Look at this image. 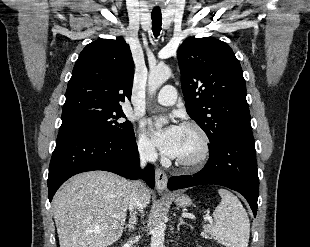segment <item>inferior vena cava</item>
I'll list each match as a JSON object with an SVG mask.
<instances>
[{"label":"inferior vena cava","mask_w":310,"mask_h":247,"mask_svg":"<svg viewBox=\"0 0 310 247\" xmlns=\"http://www.w3.org/2000/svg\"><path fill=\"white\" fill-rule=\"evenodd\" d=\"M140 154V164L143 168L147 162H154L157 159V153L150 144H143L138 147ZM141 182H131V193L129 200V210L138 209L142 211V203L138 195V190L142 187ZM132 242V241H131Z\"/></svg>","instance_id":"obj_1"}]
</instances>
